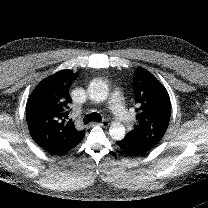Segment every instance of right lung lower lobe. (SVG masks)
Returning <instances> with one entry per match:
<instances>
[{"label":"right lung lower lobe","mask_w":208,"mask_h":208,"mask_svg":"<svg viewBox=\"0 0 208 208\" xmlns=\"http://www.w3.org/2000/svg\"><path fill=\"white\" fill-rule=\"evenodd\" d=\"M83 138H84V136L79 138V139H77V140H75V141H73L72 143H70L68 145H65V146H63L61 148H58V149H55V150L51 151V153H53L55 155H63L66 152H68L71 149H73L75 146H77L82 141Z\"/></svg>","instance_id":"98d812e1"}]
</instances>
